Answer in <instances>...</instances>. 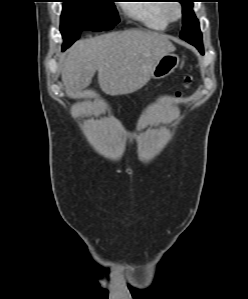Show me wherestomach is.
<instances>
[{
	"instance_id": "1",
	"label": "stomach",
	"mask_w": 248,
	"mask_h": 299,
	"mask_svg": "<svg viewBox=\"0 0 248 299\" xmlns=\"http://www.w3.org/2000/svg\"><path fill=\"white\" fill-rule=\"evenodd\" d=\"M180 58L178 55L169 53L161 57L155 65L151 77L154 79H162L170 75L179 65Z\"/></svg>"
}]
</instances>
